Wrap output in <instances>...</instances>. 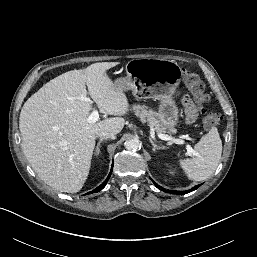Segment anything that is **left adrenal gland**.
<instances>
[{
    "instance_id": "1",
    "label": "left adrenal gland",
    "mask_w": 257,
    "mask_h": 257,
    "mask_svg": "<svg viewBox=\"0 0 257 257\" xmlns=\"http://www.w3.org/2000/svg\"><path fill=\"white\" fill-rule=\"evenodd\" d=\"M149 140H150V143L152 144L153 146V151L155 152L156 150H159V149H164V146H159L157 145L150 137H149Z\"/></svg>"
}]
</instances>
